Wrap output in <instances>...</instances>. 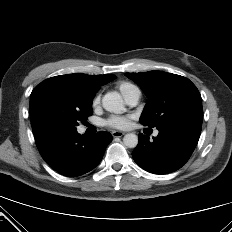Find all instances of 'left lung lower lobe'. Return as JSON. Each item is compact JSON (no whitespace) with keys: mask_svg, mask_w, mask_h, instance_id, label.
Wrapping results in <instances>:
<instances>
[{"mask_svg":"<svg viewBox=\"0 0 232 232\" xmlns=\"http://www.w3.org/2000/svg\"><path fill=\"white\" fill-rule=\"evenodd\" d=\"M202 128V119L172 121L157 129L159 134L150 141L139 134V143L132 152L134 161L154 174H168L181 168L193 153Z\"/></svg>","mask_w":232,"mask_h":232,"instance_id":"1","label":"left lung lower lobe"}]
</instances>
